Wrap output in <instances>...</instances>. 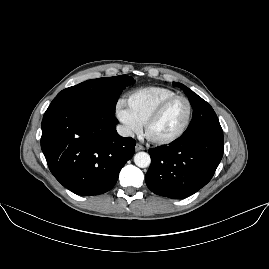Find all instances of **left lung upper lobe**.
Returning a JSON list of instances; mask_svg holds the SVG:
<instances>
[{
    "label": "left lung upper lobe",
    "mask_w": 269,
    "mask_h": 269,
    "mask_svg": "<svg viewBox=\"0 0 269 269\" xmlns=\"http://www.w3.org/2000/svg\"><path fill=\"white\" fill-rule=\"evenodd\" d=\"M173 84L184 91L193 108L191 123L181 137H190L208 130H222L216 113L205 100L185 85L177 82Z\"/></svg>",
    "instance_id": "5c2ea615"
}]
</instances>
